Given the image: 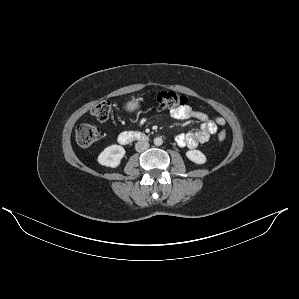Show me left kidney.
<instances>
[{
    "instance_id": "obj_1",
    "label": "left kidney",
    "mask_w": 299,
    "mask_h": 299,
    "mask_svg": "<svg viewBox=\"0 0 299 299\" xmlns=\"http://www.w3.org/2000/svg\"><path fill=\"white\" fill-rule=\"evenodd\" d=\"M186 157L195 164H204L207 161L206 156L199 150L187 151Z\"/></svg>"
}]
</instances>
